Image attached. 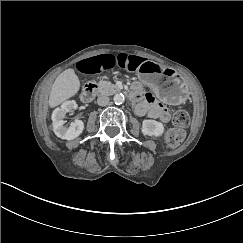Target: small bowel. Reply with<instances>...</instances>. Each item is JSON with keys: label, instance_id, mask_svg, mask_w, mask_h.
<instances>
[{"label": "small bowel", "instance_id": "c3829d8e", "mask_svg": "<svg viewBox=\"0 0 243 243\" xmlns=\"http://www.w3.org/2000/svg\"><path fill=\"white\" fill-rule=\"evenodd\" d=\"M144 62L138 55L126 53L99 54L78 63V68L83 73H98L114 68H121L127 71L136 70ZM137 92L143 99L137 104L135 111L139 115L147 114L151 118H159L163 122L169 120V112L166 106L157 101L151 93H143L139 84L135 85Z\"/></svg>", "mask_w": 243, "mask_h": 243}]
</instances>
